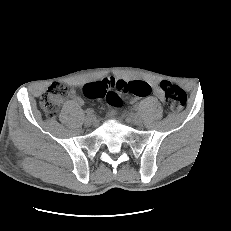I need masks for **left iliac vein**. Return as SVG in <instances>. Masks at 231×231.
<instances>
[{
    "label": "left iliac vein",
    "mask_w": 231,
    "mask_h": 231,
    "mask_svg": "<svg viewBox=\"0 0 231 231\" xmlns=\"http://www.w3.org/2000/svg\"><path fill=\"white\" fill-rule=\"evenodd\" d=\"M129 119L135 125H141L142 124V118L138 114L130 115Z\"/></svg>",
    "instance_id": "4c4485c4"
}]
</instances>
